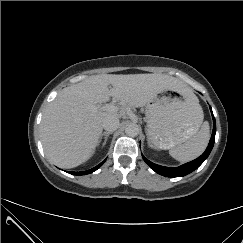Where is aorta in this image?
Here are the masks:
<instances>
[{"mask_svg":"<svg viewBox=\"0 0 243 243\" xmlns=\"http://www.w3.org/2000/svg\"><path fill=\"white\" fill-rule=\"evenodd\" d=\"M139 126L135 123H130L125 128V133L128 136L135 137L139 134Z\"/></svg>","mask_w":243,"mask_h":243,"instance_id":"762f6f07","label":"aorta"}]
</instances>
